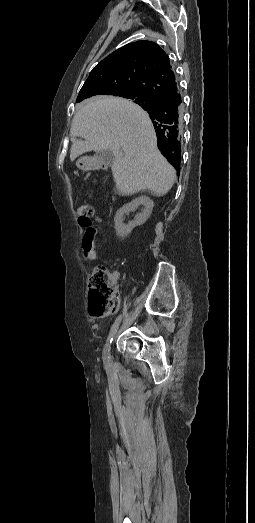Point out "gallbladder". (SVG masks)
Instances as JSON below:
<instances>
[{"instance_id":"bac80fb5","label":"gallbladder","mask_w":255,"mask_h":523,"mask_svg":"<svg viewBox=\"0 0 255 523\" xmlns=\"http://www.w3.org/2000/svg\"><path fill=\"white\" fill-rule=\"evenodd\" d=\"M98 154V158H101V160H103L104 164H106V166H112L115 158L112 154V152H110V150H102V152H97Z\"/></svg>"}]
</instances>
